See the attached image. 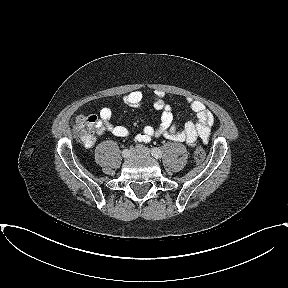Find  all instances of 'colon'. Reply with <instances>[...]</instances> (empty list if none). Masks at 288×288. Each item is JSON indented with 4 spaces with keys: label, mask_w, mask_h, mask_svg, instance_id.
Listing matches in <instances>:
<instances>
[{
    "label": "colon",
    "mask_w": 288,
    "mask_h": 288,
    "mask_svg": "<svg viewBox=\"0 0 288 288\" xmlns=\"http://www.w3.org/2000/svg\"><path fill=\"white\" fill-rule=\"evenodd\" d=\"M97 117L95 115H80L73 120V131L77 138L85 145H91L95 141V128ZM206 154L201 146L194 150V159L197 163L205 160Z\"/></svg>",
    "instance_id": "obj_1"
}]
</instances>
